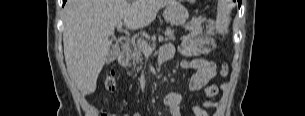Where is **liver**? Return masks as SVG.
<instances>
[{
    "label": "liver",
    "instance_id": "6515ba94",
    "mask_svg": "<svg viewBox=\"0 0 305 116\" xmlns=\"http://www.w3.org/2000/svg\"><path fill=\"white\" fill-rule=\"evenodd\" d=\"M173 1L68 0L64 8L63 44L70 78L81 90L93 93L116 24L123 21L130 30L146 27L162 7Z\"/></svg>",
    "mask_w": 305,
    "mask_h": 116
}]
</instances>
